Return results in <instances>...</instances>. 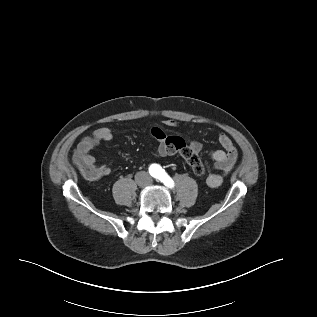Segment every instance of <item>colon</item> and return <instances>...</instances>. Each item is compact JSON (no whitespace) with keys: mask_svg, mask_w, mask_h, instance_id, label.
Segmentation results:
<instances>
[{"mask_svg":"<svg viewBox=\"0 0 317 317\" xmlns=\"http://www.w3.org/2000/svg\"><path fill=\"white\" fill-rule=\"evenodd\" d=\"M177 153L180 154L190 166L192 172L196 176H204L205 175V167L201 159L199 158L198 154L194 153L189 148H183L177 150ZM79 168L83 175L88 178H93L95 175V171L92 165L88 163L81 162L79 163Z\"/></svg>","mask_w":317,"mask_h":317,"instance_id":"obj_1","label":"colon"}]
</instances>
